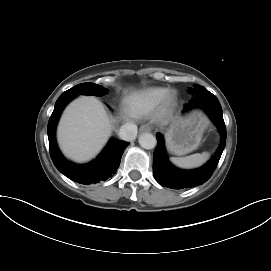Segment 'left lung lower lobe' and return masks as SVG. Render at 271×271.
<instances>
[{"instance_id":"1","label":"left lung lower lobe","mask_w":271,"mask_h":271,"mask_svg":"<svg viewBox=\"0 0 271 271\" xmlns=\"http://www.w3.org/2000/svg\"><path fill=\"white\" fill-rule=\"evenodd\" d=\"M193 107L203 108L217 125L222 137L221 144L212 159L203 167L196 170H180L169 162L165 151L164 139L158 133L156 135L158 143L153 156V174L156 181L162 186L172 189H183L205 183L216 169L224 150L226 127L223 120L222 108L216 96L210 92L198 94L185 105L184 110H189Z\"/></svg>"}]
</instances>
